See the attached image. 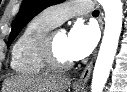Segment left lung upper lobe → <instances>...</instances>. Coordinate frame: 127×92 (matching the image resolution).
<instances>
[{
	"label": "left lung upper lobe",
	"mask_w": 127,
	"mask_h": 92,
	"mask_svg": "<svg viewBox=\"0 0 127 92\" xmlns=\"http://www.w3.org/2000/svg\"><path fill=\"white\" fill-rule=\"evenodd\" d=\"M64 0H24L17 14L9 36L8 46L13 42L22 28L45 8L63 2Z\"/></svg>",
	"instance_id": "5c2ea615"
}]
</instances>
